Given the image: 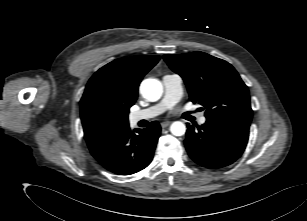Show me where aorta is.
I'll list each match as a JSON object with an SVG mask.
<instances>
[{
    "instance_id": "aorta-1",
    "label": "aorta",
    "mask_w": 307,
    "mask_h": 221,
    "mask_svg": "<svg viewBox=\"0 0 307 221\" xmlns=\"http://www.w3.org/2000/svg\"><path fill=\"white\" fill-rule=\"evenodd\" d=\"M140 93L148 101L155 102L161 98L163 87L157 79H145L140 85ZM170 131L174 136H182L185 134L186 126L180 121H175L171 124Z\"/></svg>"
}]
</instances>
